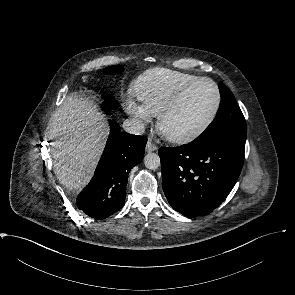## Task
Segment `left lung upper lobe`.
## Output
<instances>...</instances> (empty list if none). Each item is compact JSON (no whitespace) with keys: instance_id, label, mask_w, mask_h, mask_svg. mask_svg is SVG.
<instances>
[{"instance_id":"1","label":"left lung upper lobe","mask_w":295,"mask_h":295,"mask_svg":"<svg viewBox=\"0 0 295 295\" xmlns=\"http://www.w3.org/2000/svg\"><path fill=\"white\" fill-rule=\"evenodd\" d=\"M221 102L215 119L206 130L193 142L201 143L213 139L232 141L241 146L246 142V122L234 95L225 86L219 83Z\"/></svg>"}]
</instances>
